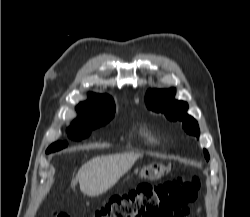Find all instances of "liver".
I'll use <instances>...</instances> for the list:
<instances>
[{
  "instance_id": "1",
  "label": "liver",
  "mask_w": 250,
  "mask_h": 217,
  "mask_svg": "<svg viewBox=\"0 0 250 217\" xmlns=\"http://www.w3.org/2000/svg\"><path fill=\"white\" fill-rule=\"evenodd\" d=\"M141 157V154L121 153L93 158L79 169L71 187L79 182L83 194L99 196L112 188Z\"/></svg>"
}]
</instances>
